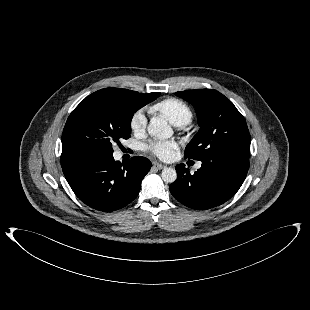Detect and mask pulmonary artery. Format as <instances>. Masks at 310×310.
<instances>
[{"label": "pulmonary artery", "mask_w": 310, "mask_h": 310, "mask_svg": "<svg viewBox=\"0 0 310 310\" xmlns=\"http://www.w3.org/2000/svg\"><path fill=\"white\" fill-rule=\"evenodd\" d=\"M200 167H201V163L199 162L196 164V168L199 169Z\"/></svg>", "instance_id": "1"}]
</instances>
